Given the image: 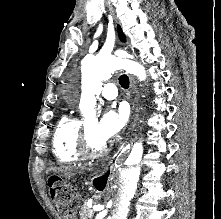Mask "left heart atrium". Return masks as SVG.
I'll return each mask as SVG.
<instances>
[{
    "label": "left heart atrium",
    "mask_w": 221,
    "mask_h": 219,
    "mask_svg": "<svg viewBox=\"0 0 221 219\" xmlns=\"http://www.w3.org/2000/svg\"><path fill=\"white\" fill-rule=\"evenodd\" d=\"M128 119V111L124 106L109 108L96 124V135L106 142L114 138L124 127Z\"/></svg>",
    "instance_id": "1"
}]
</instances>
